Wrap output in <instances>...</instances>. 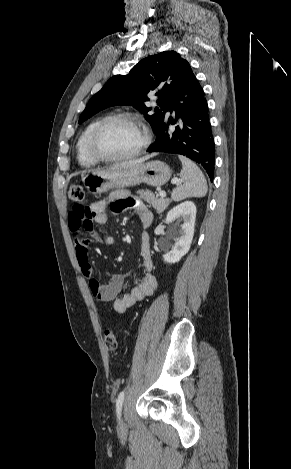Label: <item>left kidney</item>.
<instances>
[{
  "instance_id": "1",
  "label": "left kidney",
  "mask_w": 291,
  "mask_h": 469,
  "mask_svg": "<svg viewBox=\"0 0 291 469\" xmlns=\"http://www.w3.org/2000/svg\"><path fill=\"white\" fill-rule=\"evenodd\" d=\"M176 219L183 221V224L181 229L176 233L172 249L163 255L164 261L170 264L179 262L190 249L196 219L195 204L191 201H186L175 206L167 213L165 221L171 222Z\"/></svg>"
}]
</instances>
